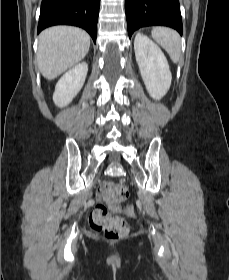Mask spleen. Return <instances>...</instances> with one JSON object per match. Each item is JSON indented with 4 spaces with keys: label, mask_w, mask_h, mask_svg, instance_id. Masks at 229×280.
<instances>
[{
    "label": "spleen",
    "mask_w": 229,
    "mask_h": 280,
    "mask_svg": "<svg viewBox=\"0 0 229 280\" xmlns=\"http://www.w3.org/2000/svg\"><path fill=\"white\" fill-rule=\"evenodd\" d=\"M152 37L169 54L174 63H178L181 56V39L179 34L168 27H155Z\"/></svg>",
    "instance_id": "obj_1"
}]
</instances>
